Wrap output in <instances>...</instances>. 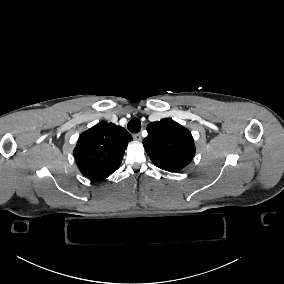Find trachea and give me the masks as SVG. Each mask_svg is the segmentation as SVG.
<instances>
[{
	"mask_svg": "<svg viewBox=\"0 0 284 284\" xmlns=\"http://www.w3.org/2000/svg\"><path fill=\"white\" fill-rule=\"evenodd\" d=\"M128 130L132 133H138L141 130V121L138 118H133L128 123Z\"/></svg>",
	"mask_w": 284,
	"mask_h": 284,
	"instance_id": "1",
	"label": "trachea"
}]
</instances>
